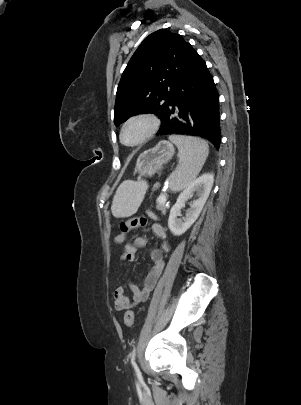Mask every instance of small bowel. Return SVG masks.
I'll return each mask as SVG.
<instances>
[{
    "instance_id": "small-bowel-1",
    "label": "small bowel",
    "mask_w": 301,
    "mask_h": 405,
    "mask_svg": "<svg viewBox=\"0 0 301 405\" xmlns=\"http://www.w3.org/2000/svg\"><path fill=\"white\" fill-rule=\"evenodd\" d=\"M148 217L153 220L152 231L160 239V247L153 249L150 253L152 266L148 271L143 286L129 282L131 293L129 294L124 287H117L113 292L114 306L117 311L128 308L132 303L138 304L146 301L155 287L164 267V256L170 251V243L165 229L156 220L153 212H146ZM147 240L144 237H136L132 243H126L123 248L122 259L127 262H134L137 258V251L145 247Z\"/></svg>"
}]
</instances>
